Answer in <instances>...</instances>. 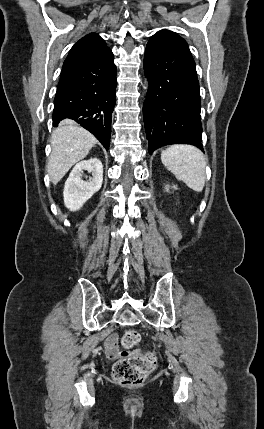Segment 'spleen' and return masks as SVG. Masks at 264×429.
<instances>
[{"mask_svg":"<svg viewBox=\"0 0 264 429\" xmlns=\"http://www.w3.org/2000/svg\"><path fill=\"white\" fill-rule=\"evenodd\" d=\"M163 165L190 189L201 192L206 180L203 153L192 145L175 144L161 153Z\"/></svg>","mask_w":264,"mask_h":429,"instance_id":"spleen-1","label":"spleen"}]
</instances>
